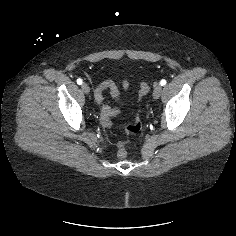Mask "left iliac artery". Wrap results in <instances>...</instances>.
Listing matches in <instances>:
<instances>
[{"instance_id":"obj_1","label":"left iliac artery","mask_w":236,"mask_h":236,"mask_svg":"<svg viewBox=\"0 0 236 236\" xmlns=\"http://www.w3.org/2000/svg\"><path fill=\"white\" fill-rule=\"evenodd\" d=\"M160 84H161L162 86L166 85V80H165V79H162V80L160 81Z\"/></svg>"}]
</instances>
